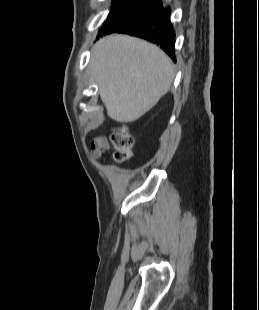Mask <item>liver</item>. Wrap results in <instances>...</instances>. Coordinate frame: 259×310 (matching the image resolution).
Wrapping results in <instances>:
<instances>
[{
    "mask_svg": "<svg viewBox=\"0 0 259 310\" xmlns=\"http://www.w3.org/2000/svg\"><path fill=\"white\" fill-rule=\"evenodd\" d=\"M92 77L108 116L133 122L152 109L171 88L174 67L158 47L127 35H109L93 47Z\"/></svg>",
    "mask_w": 259,
    "mask_h": 310,
    "instance_id": "1",
    "label": "liver"
}]
</instances>
